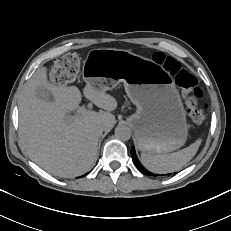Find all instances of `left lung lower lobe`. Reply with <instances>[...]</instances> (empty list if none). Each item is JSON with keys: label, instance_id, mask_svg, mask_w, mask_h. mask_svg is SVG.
Wrapping results in <instances>:
<instances>
[{"label": "left lung lower lobe", "instance_id": "obj_1", "mask_svg": "<svg viewBox=\"0 0 231 231\" xmlns=\"http://www.w3.org/2000/svg\"><path fill=\"white\" fill-rule=\"evenodd\" d=\"M131 156H132V159H133V162H134L135 166L137 167V169H138L140 172H142V173H144V174H146V175L157 176V175H155V174H152V173L148 172V171L140 164V162L138 161L137 156H136V154H135L134 148L131 149Z\"/></svg>", "mask_w": 231, "mask_h": 231}]
</instances>
